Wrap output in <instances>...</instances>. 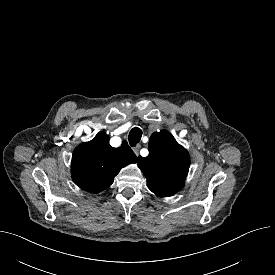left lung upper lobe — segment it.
<instances>
[{"mask_svg":"<svg viewBox=\"0 0 275 275\" xmlns=\"http://www.w3.org/2000/svg\"><path fill=\"white\" fill-rule=\"evenodd\" d=\"M149 155L138 157V166L147 178L148 188L159 197L172 196L184 187L190 157L166 130L150 137Z\"/></svg>","mask_w":275,"mask_h":275,"instance_id":"obj_1","label":"left lung upper lobe"}]
</instances>
